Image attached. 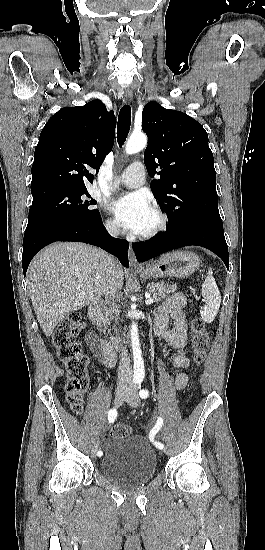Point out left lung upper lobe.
<instances>
[{"label": "left lung upper lobe", "mask_w": 265, "mask_h": 550, "mask_svg": "<svg viewBox=\"0 0 265 550\" xmlns=\"http://www.w3.org/2000/svg\"><path fill=\"white\" fill-rule=\"evenodd\" d=\"M148 136L144 163L154 196L168 217V229L198 223L223 231L218 210L214 158L208 135L183 112L149 102L142 112Z\"/></svg>", "instance_id": "1"}]
</instances>
